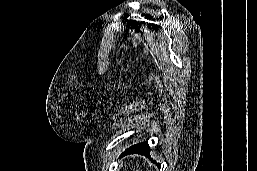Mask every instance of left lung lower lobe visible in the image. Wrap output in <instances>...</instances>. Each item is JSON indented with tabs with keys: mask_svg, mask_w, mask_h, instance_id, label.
I'll list each match as a JSON object with an SVG mask.
<instances>
[{
	"mask_svg": "<svg viewBox=\"0 0 257 171\" xmlns=\"http://www.w3.org/2000/svg\"><path fill=\"white\" fill-rule=\"evenodd\" d=\"M133 153L149 156V146H148L147 142H143V143H139V144H136V145H132L131 147L126 149L121 154L120 157L128 155V154H133ZM158 166L160 167V164H158Z\"/></svg>",
	"mask_w": 257,
	"mask_h": 171,
	"instance_id": "obj_1",
	"label": "left lung lower lobe"
}]
</instances>
